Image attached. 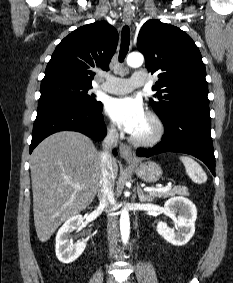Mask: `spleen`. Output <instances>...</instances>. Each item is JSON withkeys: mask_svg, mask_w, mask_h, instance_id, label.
Wrapping results in <instances>:
<instances>
[{"mask_svg": "<svg viewBox=\"0 0 233 283\" xmlns=\"http://www.w3.org/2000/svg\"><path fill=\"white\" fill-rule=\"evenodd\" d=\"M179 159L185 166L187 175L197 184H202L207 181V175L202 167L192 158L188 156H180Z\"/></svg>", "mask_w": 233, "mask_h": 283, "instance_id": "3e777b00", "label": "spleen"}]
</instances>
